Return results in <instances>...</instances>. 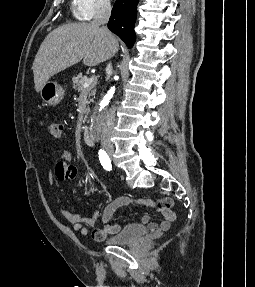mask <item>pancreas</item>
I'll return each mask as SVG.
<instances>
[{"label": "pancreas", "instance_id": "obj_1", "mask_svg": "<svg viewBox=\"0 0 255 287\" xmlns=\"http://www.w3.org/2000/svg\"><path fill=\"white\" fill-rule=\"evenodd\" d=\"M85 82H89V78H87V76H82V74H77V76H73L72 78V88H74V90H78V92H86L89 96H95L96 90L94 84H91L89 88H83V84H85ZM90 102H93V100H90ZM89 110L90 108H87V114L83 122H86Z\"/></svg>", "mask_w": 255, "mask_h": 287}]
</instances>
